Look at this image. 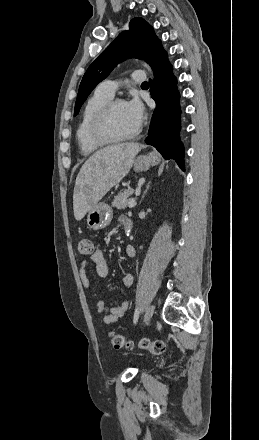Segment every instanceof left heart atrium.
<instances>
[{
	"label": "left heart atrium",
	"mask_w": 259,
	"mask_h": 440,
	"mask_svg": "<svg viewBox=\"0 0 259 440\" xmlns=\"http://www.w3.org/2000/svg\"><path fill=\"white\" fill-rule=\"evenodd\" d=\"M125 106L133 122L140 126L145 118V109L142 102L137 97H134L127 101Z\"/></svg>",
	"instance_id": "obj_1"
}]
</instances>
